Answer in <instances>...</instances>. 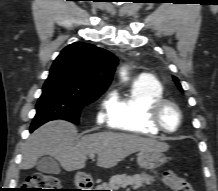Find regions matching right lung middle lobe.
<instances>
[{"mask_svg": "<svg viewBox=\"0 0 218 191\" xmlns=\"http://www.w3.org/2000/svg\"><path fill=\"white\" fill-rule=\"evenodd\" d=\"M103 92L87 91L71 84L63 76L50 72L39 98L31 127L35 130L42 124L55 119L79 123L82 108L94 102Z\"/></svg>", "mask_w": 218, "mask_h": 191, "instance_id": "1", "label": "right lung middle lobe"}]
</instances>
